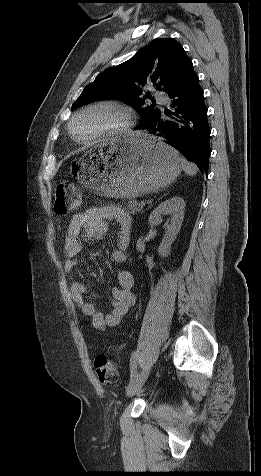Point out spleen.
Here are the masks:
<instances>
[{
    "instance_id": "3e777b00",
    "label": "spleen",
    "mask_w": 261,
    "mask_h": 476,
    "mask_svg": "<svg viewBox=\"0 0 261 476\" xmlns=\"http://www.w3.org/2000/svg\"><path fill=\"white\" fill-rule=\"evenodd\" d=\"M181 166L182 169L186 172V174L193 176L197 173L198 168L191 162H188L186 159L181 158Z\"/></svg>"
}]
</instances>
